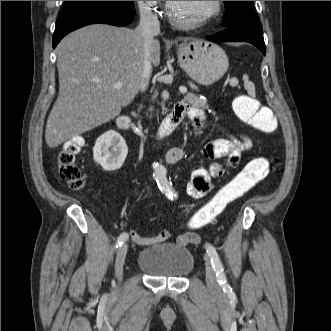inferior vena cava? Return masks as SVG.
I'll return each instance as SVG.
<instances>
[{"mask_svg": "<svg viewBox=\"0 0 331 331\" xmlns=\"http://www.w3.org/2000/svg\"><path fill=\"white\" fill-rule=\"evenodd\" d=\"M143 36L145 41V54H144V77L145 82L141 86V91H144L152 72L150 62V46L154 36L160 33V24L157 15L154 14L150 8L143 7L140 9V24L137 29Z\"/></svg>", "mask_w": 331, "mask_h": 331, "instance_id": "1", "label": "inferior vena cava"}]
</instances>
